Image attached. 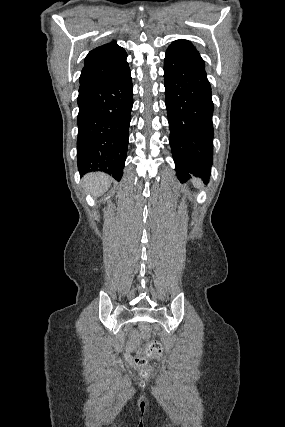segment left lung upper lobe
I'll return each mask as SVG.
<instances>
[{"label":"left lung upper lobe","mask_w":285,"mask_h":427,"mask_svg":"<svg viewBox=\"0 0 285 427\" xmlns=\"http://www.w3.org/2000/svg\"><path fill=\"white\" fill-rule=\"evenodd\" d=\"M187 53L200 57L198 51L187 40H176L167 49L166 53ZM201 58V57H200Z\"/></svg>","instance_id":"left-lung-upper-lobe-1"}]
</instances>
